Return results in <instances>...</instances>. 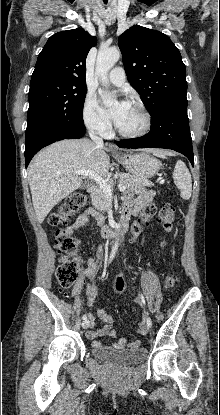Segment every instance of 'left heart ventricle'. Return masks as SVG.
Masks as SVG:
<instances>
[{"label": "left heart ventricle", "instance_id": "left-heart-ventricle-1", "mask_svg": "<svg viewBox=\"0 0 220 415\" xmlns=\"http://www.w3.org/2000/svg\"><path fill=\"white\" fill-rule=\"evenodd\" d=\"M144 125L142 113L133 105L128 104L125 115L117 126L128 132L138 131Z\"/></svg>", "mask_w": 220, "mask_h": 415}]
</instances>
